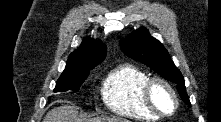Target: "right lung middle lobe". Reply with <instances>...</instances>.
I'll list each match as a JSON object with an SVG mask.
<instances>
[{"mask_svg": "<svg viewBox=\"0 0 221 122\" xmlns=\"http://www.w3.org/2000/svg\"><path fill=\"white\" fill-rule=\"evenodd\" d=\"M89 74V70L81 71L77 73H62L56 82V87L54 92H63V91H78L81 84L85 81Z\"/></svg>", "mask_w": 221, "mask_h": 122, "instance_id": "right-lung-middle-lobe-1", "label": "right lung middle lobe"}]
</instances>
